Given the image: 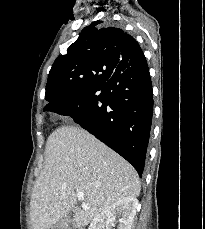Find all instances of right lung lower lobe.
Instances as JSON below:
<instances>
[{
	"label": "right lung lower lobe",
	"mask_w": 205,
	"mask_h": 229,
	"mask_svg": "<svg viewBox=\"0 0 205 229\" xmlns=\"http://www.w3.org/2000/svg\"><path fill=\"white\" fill-rule=\"evenodd\" d=\"M44 110L70 116L142 176L153 112L152 83L143 52L135 62L121 61L106 82L51 102Z\"/></svg>",
	"instance_id": "obj_1"
}]
</instances>
